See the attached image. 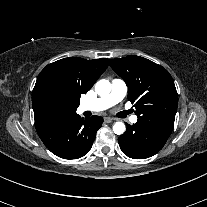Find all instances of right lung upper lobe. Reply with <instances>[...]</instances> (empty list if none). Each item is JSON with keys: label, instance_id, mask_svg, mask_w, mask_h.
<instances>
[{"label": "right lung upper lobe", "instance_id": "1", "mask_svg": "<svg viewBox=\"0 0 207 207\" xmlns=\"http://www.w3.org/2000/svg\"><path fill=\"white\" fill-rule=\"evenodd\" d=\"M108 59L86 60L64 58L47 65L39 74L32 94L35 123L56 116L46 97L59 96L66 106L77 108L81 94L86 93L106 70Z\"/></svg>", "mask_w": 207, "mask_h": 207}]
</instances>
